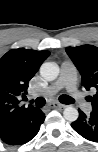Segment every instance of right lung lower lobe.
<instances>
[{
  "mask_svg": "<svg viewBox=\"0 0 98 152\" xmlns=\"http://www.w3.org/2000/svg\"><path fill=\"white\" fill-rule=\"evenodd\" d=\"M44 120L45 114L36 108L21 118L10 129L0 133V140L9 145L25 144L35 137Z\"/></svg>",
  "mask_w": 98,
  "mask_h": 152,
  "instance_id": "right-lung-lower-lobe-1",
  "label": "right lung lower lobe"
}]
</instances>
